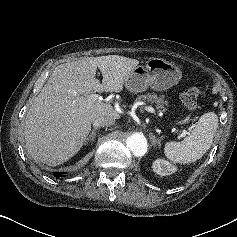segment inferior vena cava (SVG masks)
I'll use <instances>...</instances> for the list:
<instances>
[{
	"instance_id": "1",
	"label": "inferior vena cava",
	"mask_w": 237,
	"mask_h": 237,
	"mask_svg": "<svg viewBox=\"0 0 237 237\" xmlns=\"http://www.w3.org/2000/svg\"><path fill=\"white\" fill-rule=\"evenodd\" d=\"M115 123V118L111 116H99L93 121L95 127L111 126Z\"/></svg>"
}]
</instances>
